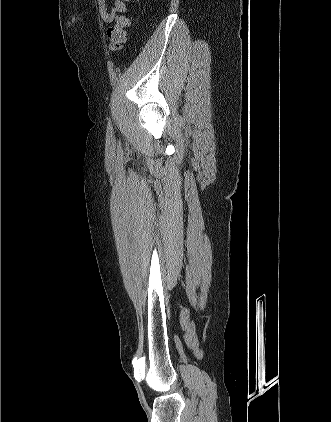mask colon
Wrapping results in <instances>:
<instances>
[{
  "label": "colon",
  "mask_w": 331,
  "mask_h": 422,
  "mask_svg": "<svg viewBox=\"0 0 331 422\" xmlns=\"http://www.w3.org/2000/svg\"><path fill=\"white\" fill-rule=\"evenodd\" d=\"M129 25L127 15H121L117 18L116 24L107 29V39L111 51H120L126 41V28Z\"/></svg>",
  "instance_id": "colon-1"
}]
</instances>
